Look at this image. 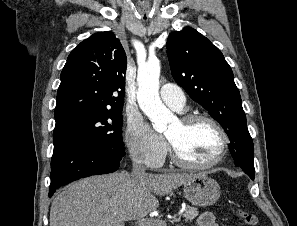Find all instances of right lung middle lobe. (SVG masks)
I'll use <instances>...</instances> for the list:
<instances>
[{
  "instance_id": "right-lung-middle-lobe-1",
  "label": "right lung middle lobe",
  "mask_w": 297,
  "mask_h": 226,
  "mask_svg": "<svg viewBox=\"0 0 297 226\" xmlns=\"http://www.w3.org/2000/svg\"><path fill=\"white\" fill-rule=\"evenodd\" d=\"M121 112L122 110L84 111L58 119L53 140L65 136L79 137L124 149Z\"/></svg>"
}]
</instances>
